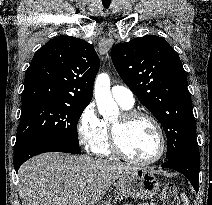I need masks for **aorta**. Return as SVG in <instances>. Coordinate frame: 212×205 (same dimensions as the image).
<instances>
[{"mask_svg": "<svg viewBox=\"0 0 212 205\" xmlns=\"http://www.w3.org/2000/svg\"><path fill=\"white\" fill-rule=\"evenodd\" d=\"M94 97L100 114L110 116L117 111L110 90V77L106 73L98 74L94 84Z\"/></svg>", "mask_w": 212, "mask_h": 205, "instance_id": "aorta-1", "label": "aorta"}]
</instances>
